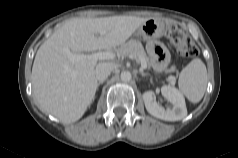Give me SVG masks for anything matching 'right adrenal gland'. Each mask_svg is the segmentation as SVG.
Masks as SVG:
<instances>
[{"instance_id":"right-adrenal-gland-1","label":"right adrenal gland","mask_w":238,"mask_h":158,"mask_svg":"<svg viewBox=\"0 0 238 158\" xmlns=\"http://www.w3.org/2000/svg\"><path fill=\"white\" fill-rule=\"evenodd\" d=\"M101 84H103V82L99 81V82L97 83V87H99Z\"/></svg>"}]
</instances>
